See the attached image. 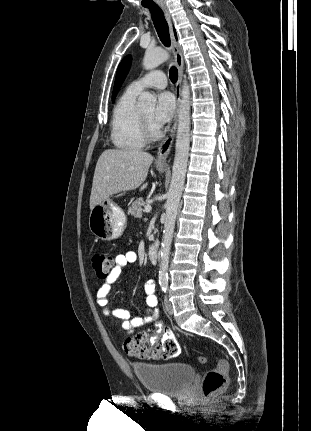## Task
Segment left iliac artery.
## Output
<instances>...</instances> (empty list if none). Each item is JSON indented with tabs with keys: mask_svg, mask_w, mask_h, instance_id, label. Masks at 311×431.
Instances as JSON below:
<instances>
[{
	"mask_svg": "<svg viewBox=\"0 0 311 431\" xmlns=\"http://www.w3.org/2000/svg\"><path fill=\"white\" fill-rule=\"evenodd\" d=\"M161 288H162V291H163V292H166V291H167V288H168V283H167V282H162V283H161Z\"/></svg>",
	"mask_w": 311,
	"mask_h": 431,
	"instance_id": "44dca946",
	"label": "left iliac artery"
}]
</instances>
